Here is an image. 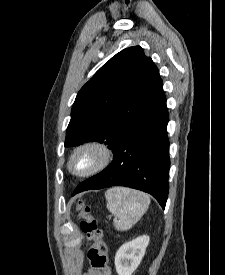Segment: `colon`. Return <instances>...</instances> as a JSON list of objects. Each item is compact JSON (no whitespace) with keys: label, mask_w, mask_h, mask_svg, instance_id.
Wrapping results in <instances>:
<instances>
[{"label":"colon","mask_w":225,"mask_h":275,"mask_svg":"<svg viewBox=\"0 0 225 275\" xmlns=\"http://www.w3.org/2000/svg\"><path fill=\"white\" fill-rule=\"evenodd\" d=\"M77 210L81 219V230L90 241L87 258L92 268L101 275H111L107 245L103 240V232L97 220L90 215V208L83 201H78Z\"/></svg>","instance_id":"obj_1"}]
</instances>
